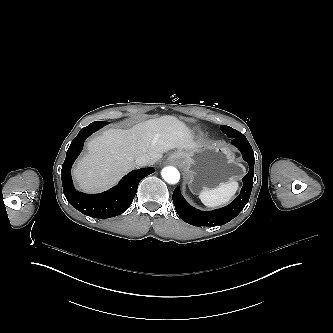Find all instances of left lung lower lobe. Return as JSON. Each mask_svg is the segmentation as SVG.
I'll use <instances>...</instances> for the list:
<instances>
[{"instance_id": "1", "label": "left lung lower lobe", "mask_w": 333, "mask_h": 333, "mask_svg": "<svg viewBox=\"0 0 333 333\" xmlns=\"http://www.w3.org/2000/svg\"><path fill=\"white\" fill-rule=\"evenodd\" d=\"M221 130L242 153L243 159L249 165V172L243 177V187L239 196L229 205L213 211L203 212L190 206L176 187L173 192V202L178 215L183 221L194 226L214 227L224 225L234 219L248 203L253 186L254 176V152L247 138L239 131L229 127L221 126Z\"/></svg>"}]
</instances>
